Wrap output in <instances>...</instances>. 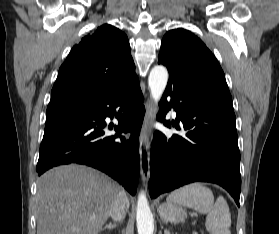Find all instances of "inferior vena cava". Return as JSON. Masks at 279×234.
I'll return each mask as SVG.
<instances>
[{
  "mask_svg": "<svg viewBox=\"0 0 279 234\" xmlns=\"http://www.w3.org/2000/svg\"><path fill=\"white\" fill-rule=\"evenodd\" d=\"M129 207V200L124 191H119L115 199L111 217L115 221H121L125 218L126 211Z\"/></svg>",
  "mask_w": 279,
  "mask_h": 234,
  "instance_id": "602c4592",
  "label": "inferior vena cava"
}]
</instances>
